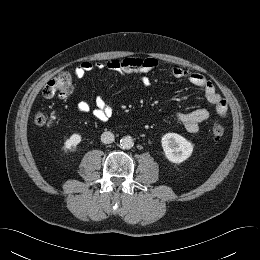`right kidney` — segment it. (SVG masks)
Returning a JSON list of instances; mask_svg holds the SVG:
<instances>
[{
	"instance_id": "1",
	"label": "right kidney",
	"mask_w": 260,
	"mask_h": 260,
	"mask_svg": "<svg viewBox=\"0 0 260 260\" xmlns=\"http://www.w3.org/2000/svg\"><path fill=\"white\" fill-rule=\"evenodd\" d=\"M82 140V137L80 134H72L64 143L63 150L67 152L68 150H71L75 148Z\"/></svg>"
}]
</instances>
